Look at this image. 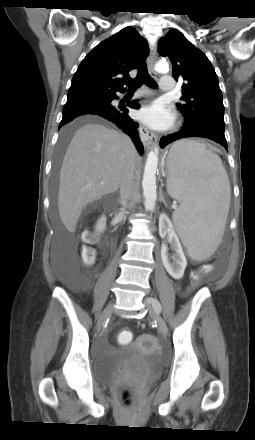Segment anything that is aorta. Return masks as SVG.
I'll return each instance as SVG.
<instances>
[{"label":"aorta","instance_id":"aorta-1","mask_svg":"<svg viewBox=\"0 0 255 440\" xmlns=\"http://www.w3.org/2000/svg\"><path fill=\"white\" fill-rule=\"evenodd\" d=\"M155 71L158 73H167L169 64L166 61H158L155 64ZM158 166V148L154 147L148 155L144 167L142 180V188L144 195V206L146 210L153 211L155 209L157 192H156V171Z\"/></svg>","mask_w":255,"mask_h":440}]
</instances>
